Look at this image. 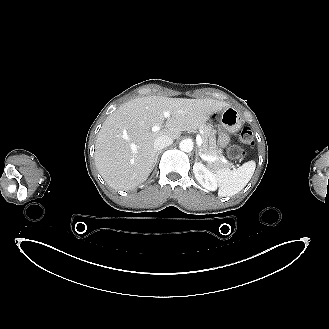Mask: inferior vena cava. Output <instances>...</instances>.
Masks as SVG:
<instances>
[{
  "label": "inferior vena cava",
  "instance_id": "obj_1",
  "mask_svg": "<svg viewBox=\"0 0 329 329\" xmlns=\"http://www.w3.org/2000/svg\"><path fill=\"white\" fill-rule=\"evenodd\" d=\"M173 143V139L167 135H161L154 141V149L160 151L163 148L170 146Z\"/></svg>",
  "mask_w": 329,
  "mask_h": 329
}]
</instances>
